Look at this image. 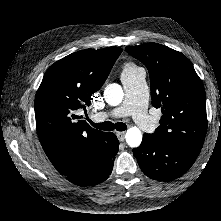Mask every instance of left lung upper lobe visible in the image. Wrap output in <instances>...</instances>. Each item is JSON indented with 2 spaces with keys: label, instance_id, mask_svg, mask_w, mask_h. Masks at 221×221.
<instances>
[{
  "label": "left lung upper lobe",
  "instance_id": "1",
  "mask_svg": "<svg viewBox=\"0 0 221 221\" xmlns=\"http://www.w3.org/2000/svg\"><path fill=\"white\" fill-rule=\"evenodd\" d=\"M148 68L152 105L162 112L154 139L173 142L199 154L207 131L205 90L191 61L157 43L126 47Z\"/></svg>",
  "mask_w": 221,
  "mask_h": 221
}]
</instances>
